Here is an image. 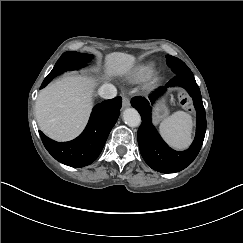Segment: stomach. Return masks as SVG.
Returning a JSON list of instances; mask_svg holds the SVG:
<instances>
[{
	"instance_id": "stomach-1",
	"label": "stomach",
	"mask_w": 243,
	"mask_h": 243,
	"mask_svg": "<svg viewBox=\"0 0 243 243\" xmlns=\"http://www.w3.org/2000/svg\"><path fill=\"white\" fill-rule=\"evenodd\" d=\"M168 113V107L165 100L157 103L153 108L154 121L159 122L161 120H164L167 117Z\"/></svg>"
}]
</instances>
